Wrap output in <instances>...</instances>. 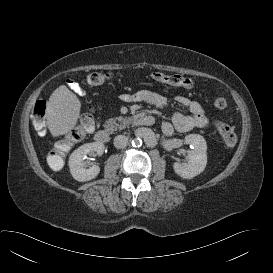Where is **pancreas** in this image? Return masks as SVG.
<instances>
[{
    "label": "pancreas",
    "instance_id": "1",
    "mask_svg": "<svg viewBox=\"0 0 273 273\" xmlns=\"http://www.w3.org/2000/svg\"><path fill=\"white\" fill-rule=\"evenodd\" d=\"M133 120L132 117L124 118L123 116L110 118L107 120L104 124V128L110 132L113 133L114 131H117L118 129L124 128L126 125L131 123Z\"/></svg>",
    "mask_w": 273,
    "mask_h": 273
}]
</instances>
